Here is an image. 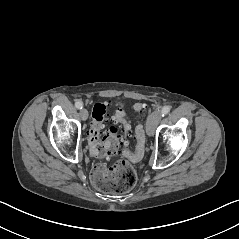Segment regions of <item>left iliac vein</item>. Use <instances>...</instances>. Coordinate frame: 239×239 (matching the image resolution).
Returning <instances> with one entry per match:
<instances>
[{
  "instance_id": "4c4485c4",
  "label": "left iliac vein",
  "mask_w": 239,
  "mask_h": 239,
  "mask_svg": "<svg viewBox=\"0 0 239 239\" xmlns=\"http://www.w3.org/2000/svg\"><path fill=\"white\" fill-rule=\"evenodd\" d=\"M162 118V113L160 111H154L147 120L146 130L149 136H153L156 130L157 125L159 124Z\"/></svg>"
}]
</instances>
